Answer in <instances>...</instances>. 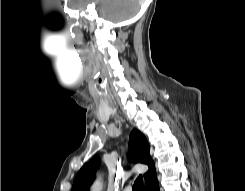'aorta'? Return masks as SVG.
Masks as SVG:
<instances>
[{
	"label": "aorta",
	"instance_id": "aorta-1",
	"mask_svg": "<svg viewBox=\"0 0 245 191\" xmlns=\"http://www.w3.org/2000/svg\"><path fill=\"white\" fill-rule=\"evenodd\" d=\"M103 190V183L101 180H97L92 188H91V191H102Z\"/></svg>",
	"mask_w": 245,
	"mask_h": 191
}]
</instances>
